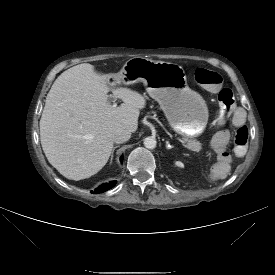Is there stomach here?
Instances as JSON below:
<instances>
[{
    "label": "stomach",
    "mask_w": 275,
    "mask_h": 275,
    "mask_svg": "<svg viewBox=\"0 0 275 275\" xmlns=\"http://www.w3.org/2000/svg\"><path fill=\"white\" fill-rule=\"evenodd\" d=\"M143 82L150 97L163 110L171 128L184 138L200 136L208 123L204 98L189 88L182 66L135 57L108 79L111 86Z\"/></svg>",
    "instance_id": "obj_1"
}]
</instances>
